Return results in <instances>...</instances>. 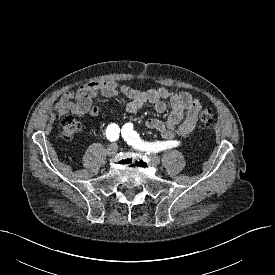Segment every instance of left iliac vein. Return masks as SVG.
I'll use <instances>...</instances> for the list:
<instances>
[{
	"instance_id": "4c4485c4",
	"label": "left iliac vein",
	"mask_w": 275,
	"mask_h": 275,
	"mask_svg": "<svg viewBox=\"0 0 275 275\" xmlns=\"http://www.w3.org/2000/svg\"><path fill=\"white\" fill-rule=\"evenodd\" d=\"M142 153H144L145 155H147V157L149 158V160L153 163V164H155V165H158V164H160V159H159V157L157 156V155H155V154H152V153H148V152H146V151H144V150H140Z\"/></svg>"
}]
</instances>
